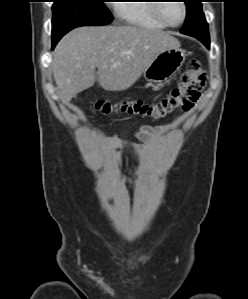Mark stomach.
Returning <instances> with one entry per match:
<instances>
[{"instance_id": "1", "label": "stomach", "mask_w": 248, "mask_h": 299, "mask_svg": "<svg viewBox=\"0 0 248 299\" xmlns=\"http://www.w3.org/2000/svg\"><path fill=\"white\" fill-rule=\"evenodd\" d=\"M186 53L178 48L160 53L144 70V78L150 83H161L173 76L183 65Z\"/></svg>"}]
</instances>
